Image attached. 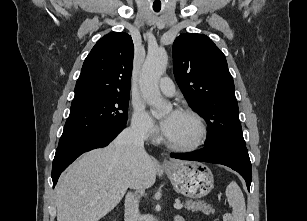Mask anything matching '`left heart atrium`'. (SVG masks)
<instances>
[{"label":"left heart atrium","mask_w":307,"mask_h":221,"mask_svg":"<svg viewBox=\"0 0 307 221\" xmlns=\"http://www.w3.org/2000/svg\"><path fill=\"white\" fill-rule=\"evenodd\" d=\"M178 112H173L170 114L169 117L165 118L162 123H161V127H162V130L164 132L165 135H167L171 129V126H172V123L176 117Z\"/></svg>","instance_id":"39dd6f15"}]
</instances>
